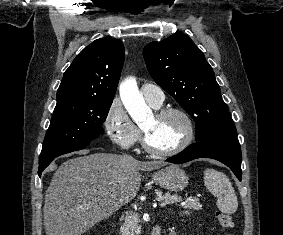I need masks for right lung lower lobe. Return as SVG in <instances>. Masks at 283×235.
Masks as SVG:
<instances>
[{
  "label": "right lung lower lobe",
  "mask_w": 283,
  "mask_h": 235,
  "mask_svg": "<svg viewBox=\"0 0 283 235\" xmlns=\"http://www.w3.org/2000/svg\"><path fill=\"white\" fill-rule=\"evenodd\" d=\"M89 144H90V142H81V143L74 144L72 146H69V147H67L65 149H62V150L58 151L57 153H55L54 155L50 156L46 160L39 162L38 175L41 177L42 171L50 164V162L54 158H56V157H58V156H60L62 154H66V153H70V152H73V151L81 150V149L85 148L86 146H88Z\"/></svg>",
  "instance_id": "obj_1"
}]
</instances>
